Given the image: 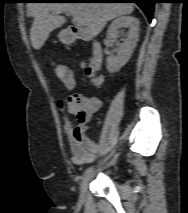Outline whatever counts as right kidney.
<instances>
[{
    "mask_svg": "<svg viewBox=\"0 0 188 213\" xmlns=\"http://www.w3.org/2000/svg\"><path fill=\"white\" fill-rule=\"evenodd\" d=\"M121 27L128 28L125 38H120L118 29ZM139 37V20L132 16H121L116 18L110 24L107 30V38L112 41L121 39L123 43L117 50V55H110L106 60V67L110 73L119 71L131 58L137 45Z\"/></svg>",
    "mask_w": 188,
    "mask_h": 213,
    "instance_id": "1",
    "label": "right kidney"
}]
</instances>
